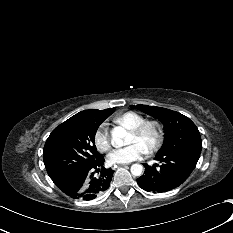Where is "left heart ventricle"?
<instances>
[{"label": "left heart ventricle", "instance_id": "obj_1", "mask_svg": "<svg viewBox=\"0 0 233 233\" xmlns=\"http://www.w3.org/2000/svg\"><path fill=\"white\" fill-rule=\"evenodd\" d=\"M154 131L153 130H149L147 131L143 136L141 137H137L135 136L133 133H130L129 136V140L128 143L131 144L133 142H138L141 145H143L146 149H148V147L150 146V144L153 142L154 140Z\"/></svg>", "mask_w": 233, "mask_h": 233}]
</instances>
